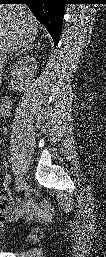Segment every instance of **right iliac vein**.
<instances>
[{"mask_svg":"<svg viewBox=\"0 0 106 257\" xmlns=\"http://www.w3.org/2000/svg\"><path fill=\"white\" fill-rule=\"evenodd\" d=\"M16 181L19 186V192L23 191L25 188V184H24V178H23L22 174H19L16 176Z\"/></svg>","mask_w":106,"mask_h":257,"instance_id":"63e3f726","label":"right iliac vein"}]
</instances>
